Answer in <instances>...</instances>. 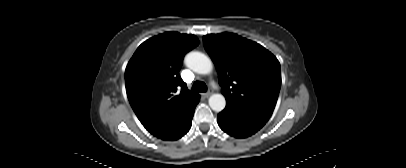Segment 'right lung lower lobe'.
<instances>
[{
  "mask_svg": "<svg viewBox=\"0 0 406 168\" xmlns=\"http://www.w3.org/2000/svg\"><path fill=\"white\" fill-rule=\"evenodd\" d=\"M199 100L186 112V114L178 121L176 126L163 138L164 140H177L189 131L192 124L194 110Z\"/></svg>",
  "mask_w": 406,
  "mask_h": 168,
  "instance_id": "obj_1",
  "label": "right lung lower lobe"
}]
</instances>
